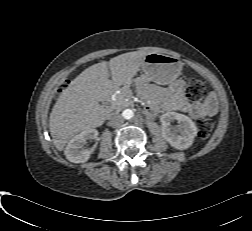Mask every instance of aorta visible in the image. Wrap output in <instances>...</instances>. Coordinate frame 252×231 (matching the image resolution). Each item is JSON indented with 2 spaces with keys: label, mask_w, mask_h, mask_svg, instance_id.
<instances>
[{
  "label": "aorta",
  "mask_w": 252,
  "mask_h": 231,
  "mask_svg": "<svg viewBox=\"0 0 252 231\" xmlns=\"http://www.w3.org/2000/svg\"><path fill=\"white\" fill-rule=\"evenodd\" d=\"M122 116L124 119L130 120L134 117V111L132 109H125Z\"/></svg>",
  "instance_id": "762f6f07"
}]
</instances>
